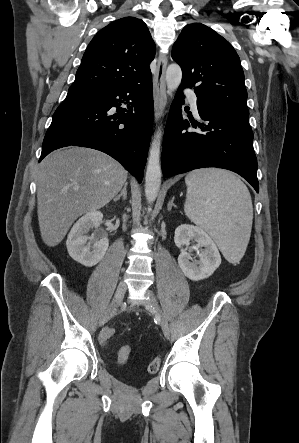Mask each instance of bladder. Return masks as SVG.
<instances>
[{"instance_id": "1", "label": "bladder", "mask_w": 299, "mask_h": 443, "mask_svg": "<svg viewBox=\"0 0 299 443\" xmlns=\"http://www.w3.org/2000/svg\"><path fill=\"white\" fill-rule=\"evenodd\" d=\"M122 377L128 381H136L139 379V376L133 372H126L122 375Z\"/></svg>"}]
</instances>
